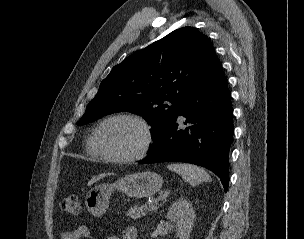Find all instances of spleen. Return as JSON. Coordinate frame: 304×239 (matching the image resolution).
Returning a JSON list of instances; mask_svg holds the SVG:
<instances>
[{
	"label": "spleen",
	"instance_id": "obj_1",
	"mask_svg": "<svg viewBox=\"0 0 304 239\" xmlns=\"http://www.w3.org/2000/svg\"><path fill=\"white\" fill-rule=\"evenodd\" d=\"M167 168L179 174L184 181L188 182L192 186H196L202 182L211 181V176L203 168L196 165L173 163L169 164Z\"/></svg>",
	"mask_w": 304,
	"mask_h": 239
}]
</instances>
